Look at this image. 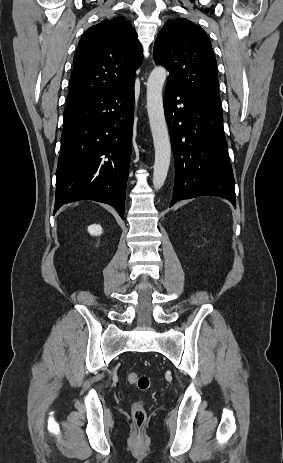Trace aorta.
Masks as SVG:
<instances>
[{
	"label": "aorta",
	"instance_id": "1",
	"mask_svg": "<svg viewBox=\"0 0 283 463\" xmlns=\"http://www.w3.org/2000/svg\"><path fill=\"white\" fill-rule=\"evenodd\" d=\"M166 76V69L158 66L152 70L147 81V111L155 148L153 170L155 190H159L164 185L171 159V145L162 98Z\"/></svg>",
	"mask_w": 283,
	"mask_h": 463
}]
</instances>
